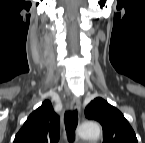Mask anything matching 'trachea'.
I'll list each match as a JSON object with an SVG mask.
<instances>
[{
	"label": "trachea",
	"instance_id": "obj_1",
	"mask_svg": "<svg viewBox=\"0 0 145 143\" xmlns=\"http://www.w3.org/2000/svg\"><path fill=\"white\" fill-rule=\"evenodd\" d=\"M77 124H78L77 110H74L65 117V129L68 135V140L70 142H73L75 140L74 132L77 127Z\"/></svg>",
	"mask_w": 145,
	"mask_h": 143
}]
</instances>
